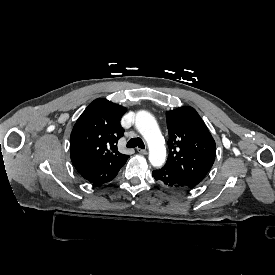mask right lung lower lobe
Returning a JSON list of instances; mask_svg holds the SVG:
<instances>
[{
	"label": "right lung lower lobe",
	"mask_w": 275,
	"mask_h": 275,
	"mask_svg": "<svg viewBox=\"0 0 275 275\" xmlns=\"http://www.w3.org/2000/svg\"><path fill=\"white\" fill-rule=\"evenodd\" d=\"M122 166L103 165L81 172V176L96 185H102L113 180Z\"/></svg>",
	"instance_id": "98d812e1"
}]
</instances>
